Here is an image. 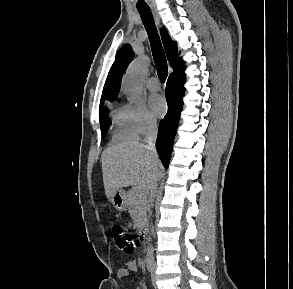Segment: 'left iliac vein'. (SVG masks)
<instances>
[{"label":"left iliac vein","instance_id":"4c4485c4","mask_svg":"<svg viewBox=\"0 0 293 289\" xmlns=\"http://www.w3.org/2000/svg\"><path fill=\"white\" fill-rule=\"evenodd\" d=\"M155 269H156V263L154 260H152V267H151V281L155 289L157 288L156 286V277H155Z\"/></svg>","mask_w":293,"mask_h":289}]
</instances>
